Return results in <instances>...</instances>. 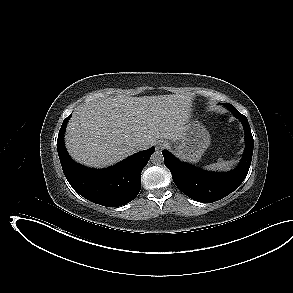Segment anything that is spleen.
Listing matches in <instances>:
<instances>
[{
	"instance_id": "1",
	"label": "spleen",
	"mask_w": 293,
	"mask_h": 293,
	"mask_svg": "<svg viewBox=\"0 0 293 293\" xmlns=\"http://www.w3.org/2000/svg\"><path fill=\"white\" fill-rule=\"evenodd\" d=\"M235 163V160L224 161L222 159H219L217 163L208 165L206 166V168L209 170H229L231 166H233Z\"/></svg>"
}]
</instances>
